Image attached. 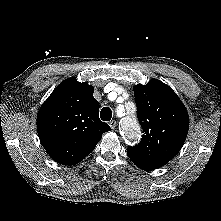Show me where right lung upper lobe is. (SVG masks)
Returning a JSON list of instances; mask_svg holds the SVG:
<instances>
[{
	"instance_id": "cb5924a9",
	"label": "right lung upper lobe",
	"mask_w": 221,
	"mask_h": 221,
	"mask_svg": "<svg viewBox=\"0 0 221 221\" xmlns=\"http://www.w3.org/2000/svg\"><path fill=\"white\" fill-rule=\"evenodd\" d=\"M94 88L75 78L64 80L41 106L37 116L40 141L56 162L74 165L89 155L110 126L99 118Z\"/></svg>"
}]
</instances>
